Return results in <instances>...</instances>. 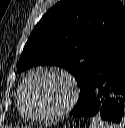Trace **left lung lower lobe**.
Here are the masks:
<instances>
[{
  "mask_svg": "<svg viewBox=\"0 0 125 128\" xmlns=\"http://www.w3.org/2000/svg\"><path fill=\"white\" fill-rule=\"evenodd\" d=\"M70 115L125 123V29L106 49Z\"/></svg>",
  "mask_w": 125,
  "mask_h": 128,
  "instance_id": "obj_1",
  "label": "left lung lower lobe"
}]
</instances>
